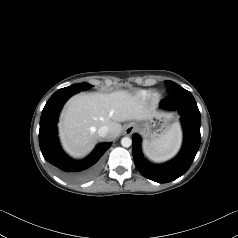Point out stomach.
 Segmentation results:
<instances>
[{
	"instance_id": "1",
	"label": "stomach",
	"mask_w": 238,
	"mask_h": 238,
	"mask_svg": "<svg viewBox=\"0 0 238 238\" xmlns=\"http://www.w3.org/2000/svg\"><path fill=\"white\" fill-rule=\"evenodd\" d=\"M173 116L169 113H156L140 124L133 123L144 137L145 144L161 138L173 125Z\"/></svg>"
}]
</instances>
